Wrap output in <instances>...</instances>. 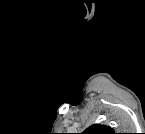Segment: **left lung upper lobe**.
Returning a JSON list of instances; mask_svg holds the SVG:
<instances>
[{"instance_id":"5c2ea615","label":"left lung upper lobe","mask_w":145,"mask_h":134,"mask_svg":"<svg viewBox=\"0 0 145 134\" xmlns=\"http://www.w3.org/2000/svg\"><path fill=\"white\" fill-rule=\"evenodd\" d=\"M83 134H115L113 129L109 126L101 124H93L88 127Z\"/></svg>"}]
</instances>
